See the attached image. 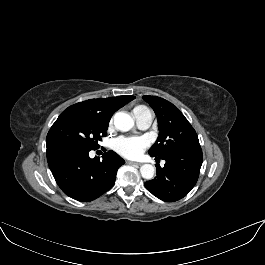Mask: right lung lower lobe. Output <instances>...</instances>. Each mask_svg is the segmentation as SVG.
Instances as JSON below:
<instances>
[{
	"label": "right lung lower lobe",
	"mask_w": 265,
	"mask_h": 265,
	"mask_svg": "<svg viewBox=\"0 0 265 265\" xmlns=\"http://www.w3.org/2000/svg\"><path fill=\"white\" fill-rule=\"evenodd\" d=\"M49 168L61 190L69 197L92 201L115 183L118 168L125 162L108 151L103 159L89 157V151L62 149L47 151Z\"/></svg>",
	"instance_id": "obj_1"
}]
</instances>
